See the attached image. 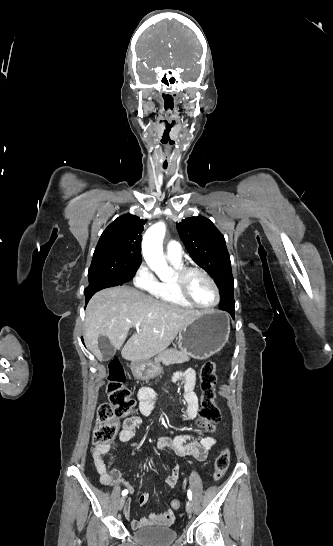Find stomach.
<instances>
[{
  "label": "stomach",
  "instance_id": "obj_1",
  "mask_svg": "<svg viewBox=\"0 0 333 546\" xmlns=\"http://www.w3.org/2000/svg\"><path fill=\"white\" fill-rule=\"evenodd\" d=\"M230 321L224 313L211 310L202 313L179 331L178 345L181 351L194 359L205 360L219 352L228 342ZM133 376L149 380L162 373L160 364L154 361H132Z\"/></svg>",
  "mask_w": 333,
  "mask_h": 546
}]
</instances>
